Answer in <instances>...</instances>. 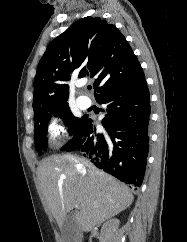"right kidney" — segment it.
<instances>
[{"instance_id": "ca27d5eb", "label": "right kidney", "mask_w": 187, "mask_h": 242, "mask_svg": "<svg viewBox=\"0 0 187 242\" xmlns=\"http://www.w3.org/2000/svg\"><path fill=\"white\" fill-rule=\"evenodd\" d=\"M120 224V221L118 219H111L109 221H107L104 225V231L107 234H112L113 232L116 231V229L118 228Z\"/></svg>"}]
</instances>
